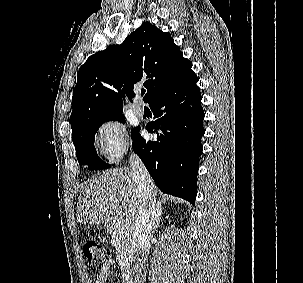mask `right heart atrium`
I'll list each match as a JSON object with an SVG mask.
<instances>
[{
  "label": "right heart atrium",
  "instance_id": "obj_1",
  "mask_svg": "<svg viewBox=\"0 0 303 283\" xmlns=\"http://www.w3.org/2000/svg\"><path fill=\"white\" fill-rule=\"evenodd\" d=\"M95 143L103 158L110 163L120 160L130 147L128 131L116 119H108L98 125Z\"/></svg>",
  "mask_w": 303,
  "mask_h": 283
}]
</instances>
